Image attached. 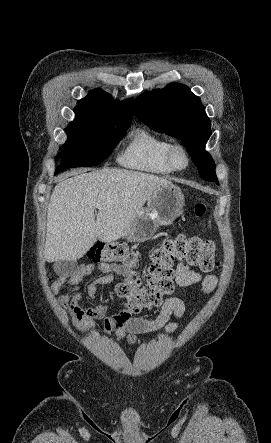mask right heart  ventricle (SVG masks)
<instances>
[{
	"instance_id": "1",
	"label": "right heart ventricle",
	"mask_w": 271,
	"mask_h": 443,
	"mask_svg": "<svg viewBox=\"0 0 271 443\" xmlns=\"http://www.w3.org/2000/svg\"><path fill=\"white\" fill-rule=\"evenodd\" d=\"M172 141L146 127H137L128 135L127 142L118 156L125 167L160 175L172 174L175 170L167 159V150Z\"/></svg>"
}]
</instances>
